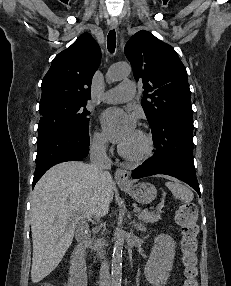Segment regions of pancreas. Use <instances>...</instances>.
I'll return each instance as SVG.
<instances>
[{
  "label": "pancreas",
  "mask_w": 231,
  "mask_h": 286,
  "mask_svg": "<svg viewBox=\"0 0 231 286\" xmlns=\"http://www.w3.org/2000/svg\"><path fill=\"white\" fill-rule=\"evenodd\" d=\"M162 213L163 211L161 209H158L156 212H149L147 210H144V211L139 212L137 216L139 219H141L145 223H153V222H157L158 220H161ZM103 243H104L103 239L95 240L92 246V249L99 251Z\"/></svg>",
  "instance_id": "cf45deb5"
}]
</instances>
